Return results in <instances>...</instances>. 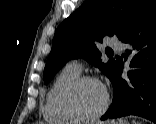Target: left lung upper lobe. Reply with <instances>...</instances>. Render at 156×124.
<instances>
[{
    "instance_id": "5c2ea615",
    "label": "left lung upper lobe",
    "mask_w": 156,
    "mask_h": 124,
    "mask_svg": "<svg viewBox=\"0 0 156 124\" xmlns=\"http://www.w3.org/2000/svg\"><path fill=\"white\" fill-rule=\"evenodd\" d=\"M151 0H85L57 28L52 49L44 69L46 84L70 59L85 58L98 67L109 79L116 61L102 63L96 47L103 37L116 35L122 40L138 23Z\"/></svg>"
}]
</instances>
